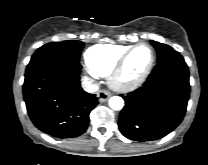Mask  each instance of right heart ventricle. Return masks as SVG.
I'll return each instance as SVG.
<instances>
[{"mask_svg":"<svg viewBox=\"0 0 208 165\" xmlns=\"http://www.w3.org/2000/svg\"><path fill=\"white\" fill-rule=\"evenodd\" d=\"M130 47V45L111 43L93 45L84 54L85 63L94 74L107 76L111 73L121 55Z\"/></svg>","mask_w":208,"mask_h":165,"instance_id":"1","label":"right heart ventricle"}]
</instances>
